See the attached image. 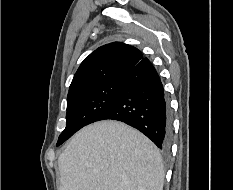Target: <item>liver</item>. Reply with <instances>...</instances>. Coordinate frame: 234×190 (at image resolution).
<instances>
[{
  "instance_id": "obj_1",
  "label": "liver",
  "mask_w": 234,
  "mask_h": 190,
  "mask_svg": "<svg viewBox=\"0 0 234 190\" xmlns=\"http://www.w3.org/2000/svg\"><path fill=\"white\" fill-rule=\"evenodd\" d=\"M58 166L59 190H163L157 147L119 121L82 128L59 156Z\"/></svg>"
}]
</instances>
